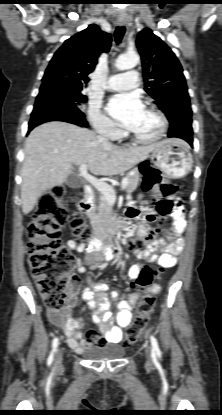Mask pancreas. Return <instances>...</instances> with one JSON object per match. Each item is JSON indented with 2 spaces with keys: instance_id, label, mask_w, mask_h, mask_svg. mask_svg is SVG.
Segmentation results:
<instances>
[{
  "instance_id": "1",
  "label": "pancreas",
  "mask_w": 222,
  "mask_h": 415,
  "mask_svg": "<svg viewBox=\"0 0 222 415\" xmlns=\"http://www.w3.org/2000/svg\"><path fill=\"white\" fill-rule=\"evenodd\" d=\"M127 178L128 185L126 187V192L130 194L137 188L140 181V175L137 170H134V174L128 176ZM99 200V206L97 207L96 211L91 214V224L93 226L110 228L115 222L110 204L103 194L100 195Z\"/></svg>"
}]
</instances>
